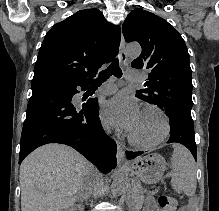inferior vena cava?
I'll use <instances>...</instances> for the list:
<instances>
[{
  "instance_id": "602c4592",
  "label": "inferior vena cava",
  "mask_w": 219,
  "mask_h": 211,
  "mask_svg": "<svg viewBox=\"0 0 219 211\" xmlns=\"http://www.w3.org/2000/svg\"><path fill=\"white\" fill-rule=\"evenodd\" d=\"M103 174L102 170H91L90 174H86V183H82L81 187L78 189L80 197L83 198H92L93 197V188H97L99 183L100 175Z\"/></svg>"
}]
</instances>
